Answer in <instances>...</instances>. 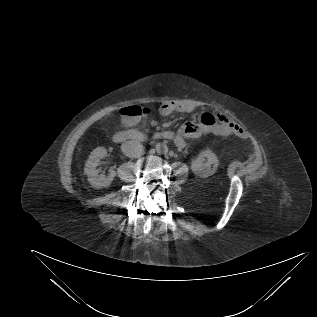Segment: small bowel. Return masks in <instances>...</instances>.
<instances>
[{
  "label": "small bowel",
  "mask_w": 317,
  "mask_h": 317,
  "mask_svg": "<svg viewBox=\"0 0 317 317\" xmlns=\"http://www.w3.org/2000/svg\"><path fill=\"white\" fill-rule=\"evenodd\" d=\"M159 110L162 115H170L174 112L190 113L195 110V106L188 101L173 100L164 101L159 105ZM212 114V113H209ZM219 120L214 125H207L202 121L200 123L187 122L185 123L175 136V143L177 146L184 148L186 146L187 138H197L204 133H214L219 135H229L239 133L243 135L242 129L227 116L221 114L218 116ZM134 123V121H128Z\"/></svg>",
  "instance_id": "1"
}]
</instances>
